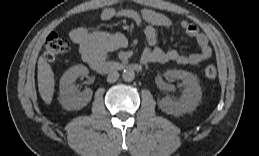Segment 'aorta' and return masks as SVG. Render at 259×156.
I'll list each match as a JSON object with an SVG mask.
<instances>
[{
  "mask_svg": "<svg viewBox=\"0 0 259 156\" xmlns=\"http://www.w3.org/2000/svg\"><path fill=\"white\" fill-rule=\"evenodd\" d=\"M122 78H123V80L126 81V82H131V81H133L134 78H135V72H134V70L131 69V68L125 69V70L123 71V73H122Z\"/></svg>",
  "mask_w": 259,
  "mask_h": 156,
  "instance_id": "aorta-1",
  "label": "aorta"
}]
</instances>
